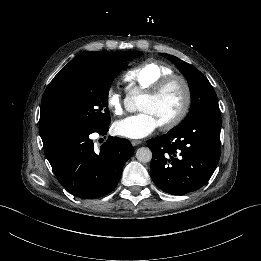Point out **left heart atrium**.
<instances>
[{
	"label": "left heart atrium",
	"instance_id": "1",
	"mask_svg": "<svg viewBox=\"0 0 261 261\" xmlns=\"http://www.w3.org/2000/svg\"><path fill=\"white\" fill-rule=\"evenodd\" d=\"M160 126L155 117L148 111H142L124 120L117 121L113 126L116 135L128 139H142Z\"/></svg>",
	"mask_w": 261,
	"mask_h": 261
}]
</instances>
